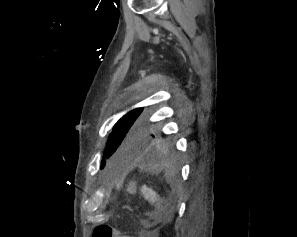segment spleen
I'll list each match as a JSON object with an SVG mask.
<instances>
[{"mask_svg":"<svg viewBox=\"0 0 297 237\" xmlns=\"http://www.w3.org/2000/svg\"><path fill=\"white\" fill-rule=\"evenodd\" d=\"M142 193H143L144 197L152 203L160 201L159 195L155 191H153L151 188H148L147 186L142 187ZM158 208L161 211H163L160 204H158Z\"/></svg>","mask_w":297,"mask_h":237,"instance_id":"obj_1","label":"spleen"}]
</instances>
